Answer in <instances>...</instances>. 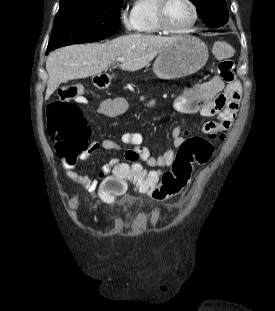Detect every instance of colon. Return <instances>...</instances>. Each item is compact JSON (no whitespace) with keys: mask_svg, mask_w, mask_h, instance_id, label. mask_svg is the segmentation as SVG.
Listing matches in <instances>:
<instances>
[{"mask_svg":"<svg viewBox=\"0 0 275 311\" xmlns=\"http://www.w3.org/2000/svg\"><path fill=\"white\" fill-rule=\"evenodd\" d=\"M214 57L220 59L218 73L226 81L234 80V63L225 58L228 45L217 42L212 48ZM78 86L63 88L59 99L47 107V127L50 138L55 142V154L59 159L74 160L87 150L90 129L76 104H87V97ZM75 98V99H74ZM74 99V103L68 100ZM140 97H113L105 101L102 113L109 117H132L133 111L128 104H140ZM226 136V129H221L207 137L194 136L187 139L179 147L172 168L159 175L156 171L147 170L139 163L119 165L114 175H105L104 183L99 184L96 192L101 202H114L125 194L127 183L131 182L137 191L150 196L153 200L163 201L179 194L190 182L195 166H204L213 157L215 143ZM132 161V160H129Z\"/></svg>","mask_w":275,"mask_h":311,"instance_id":"obj_1","label":"colon"}]
</instances>
